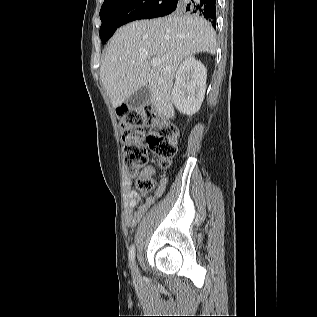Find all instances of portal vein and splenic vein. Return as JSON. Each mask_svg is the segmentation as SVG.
<instances>
[{
	"label": "portal vein and splenic vein",
	"mask_w": 317,
	"mask_h": 317,
	"mask_svg": "<svg viewBox=\"0 0 317 317\" xmlns=\"http://www.w3.org/2000/svg\"><path fill=\"white\" fill-rule=\"evenodd\" d=\"M161 63L160 59L154 58L151 60V66L156 67Z\"/></svg>",
	"instance_id": "obj_1"
}]
</instances>
